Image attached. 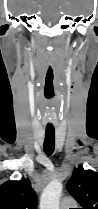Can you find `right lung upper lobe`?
Instances as JSON below:
<instances>
[{"label": "right lung upper lobe", "instance_id": "right-lung-upper-lobe-1", "mask_svg": "<svg viewBox=\"0 0 98 209\" xmlns=\"http://www.w3.org/2000/svg\"><path fill=\"white\" fill-rule=\"evenodd\" d=\"M37 196L28 179L7 181L0 186V209H36Z\"/></svg>", "mask_w": 98, "mask_h": 209}]
</instances>
